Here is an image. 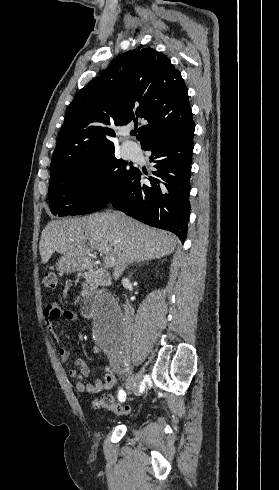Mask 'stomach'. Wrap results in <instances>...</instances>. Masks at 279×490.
<instances>
[{
    "mask_svg": "<svg viewBox=\"0 0 279 490\" xmlns=\"http://www.w3.org/2000/svg\"><path fill=\"white\" fill-rule=\"evenodd\" d=\"M84 262H79V260H73V258H67V256H62L59 258L56 266L59 272L63 274H72V272H81V268Z\"/></svg>",
    "mask_w": 279,
    "mask_h": 490,
    "instance_id": "stomach-1",
    "label": "stomach"
}]
</instances>
